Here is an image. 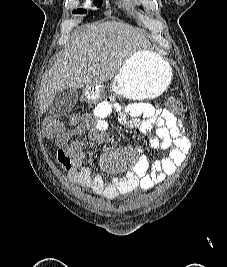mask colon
Instances as JSON below:
<instances>
[{"label":"colon","instance_id":"1","mask_svg":"<svg viewBox=\"0 0 227 267\" xmlns=\"http://www.w3.org/2000/svg\"><path fill=\"white\" fill-rule=\"evenodd\" d=\"M167 108L173 114L180 113L182 111V107L180 103L174 99L170 98L167 101ZM77 119V116L74 117ZM42 135L50 140L60 139L65 133V125L62 119L56 115H50L45 118L41 126Z\"/></svg>","mask_w":227,"mask_h":267}]
</instances>
